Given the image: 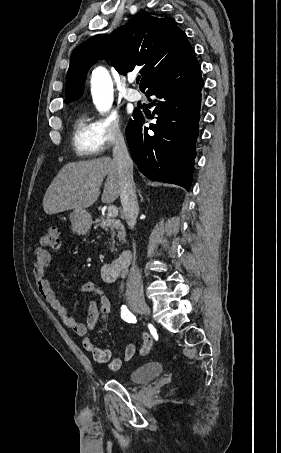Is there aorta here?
<instances>
[{"instance_id":"1","label":"aorta","mask_w":281,"mask_h":453,"mask_svg":"<svg viewBox=\"0 0 281 453\" xmlns=\"http://www.w3.org/2000/svg\"><path fill=\"white\" fill-rule=\"evenodd\" d=\"M91 94L93 103L100 113L107 112L113 103V82L106 68L97 67L92 72Z\"/></svg>"}]
</instances>
